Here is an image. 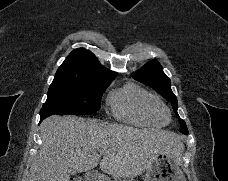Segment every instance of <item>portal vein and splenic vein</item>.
Instances as JSON below:
<instances>
[{
	"instance_id": "18ae733b",
	"label": "portal vein and splenic vein",
	"mask_w": 228,
	"mask_h": 181,
	"mask_svg": "<svg viewBox=\"0 0 228 181\" xmlns=\"http://www.w3.org/2000/svg\"><path fill=\"white\" fill-rule=\"evenodd\" d=\"M106 149H103V151H99V155H104Z\"/></svg>"
}]
</instances>
